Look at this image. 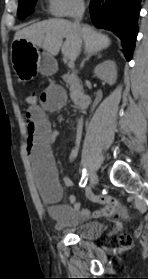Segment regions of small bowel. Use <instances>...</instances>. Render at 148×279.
I'll return each mask as SVG.
<instances>
[{
	"label": "small bowel",
	"mask_w": 148,
	"mask_h": 279,
	"mask_svg": "<svg viewBox=\"0 0 148 279\" xmlns=\"http://www.w3.org/2000/svg\"><path fill=\"white\" fill-rule=\"evenodd\" d=\"M65 103L66 93L63 88L50 83L38 97L37 103L29 106L27 110V153L32 163L37 187L43 199L50 204V214L61 223L75 224L89 218L112 215L119 203L110 196H102L99 199H95L89 194L94 201L100 204V207L95 210L83 208L76 195L69 197L71 205L58 204L62 189L51 150V142L55 138V132L46 112L59 110ZM81 125L82 121L77 119L73 155L78 150V132L81 129ZM63 184L71 187L73 186V181L69 177H64Z\"/></svg>",
	"instance_id": "obj_1"
}]
</instances>
